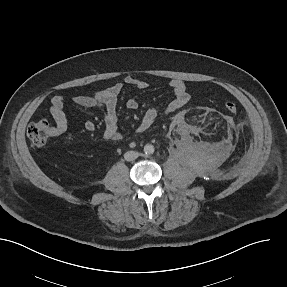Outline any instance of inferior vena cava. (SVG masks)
Wrapping results in <instances>:
<instances>
[{
	"label": "inferior vena cava",
	"mask_w": 287,
	"mask_h": 287,
	"mask_svg": "<svg viewBox=\"0 0 287 287\" xmlns=\"http://www.w3.org/2000/svg\"><path fill=\"white\" fill-rule=\"evenodd\" d=\"M138 156H139V153L136 152V151H127V152L124 154V158H125V160H127V161H133V160H135Z\"/></svg>",
	"instance_id": "1"
}]
</instances>
